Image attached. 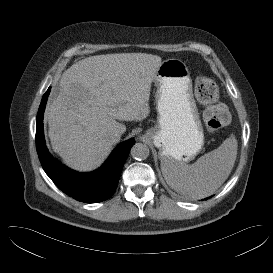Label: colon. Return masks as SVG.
Wrapping results in <instances>:
<instances>
[{"label":"colon","instance_id":"obj_1","mask_svg":"<svg viewBox=\"0 0 273 273\" xmlns=\"http://www.w3.org/2000/svg\"><path fill=\"white\" fill-rule=\"evenodd\" d=\"M195 94L197 99L206 105L203 113L205 128L214 133L221 130L229 122V111L222 105H216L219 98L218 86L206 77L195 80Z\"/></svg>","mask_w":273,"mask_h":273}]
</instances>
